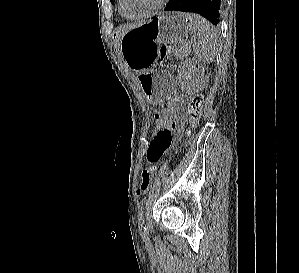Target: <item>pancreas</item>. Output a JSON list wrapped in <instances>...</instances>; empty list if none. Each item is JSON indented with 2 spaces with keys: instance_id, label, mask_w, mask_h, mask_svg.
Here are the masks:
<instances>
[{
  "instance_id": "obj_1",
  "label": "pancreas",
  "mask_w": 299,
  "mask_h": 273,
  "mask_svg": "<svg viewBox=\"0 0 299 273\" xmlns=\"http://www.w3.org/2000/svg\"><path fill=\"white\" fill-rule=\"evenodd\" d=\"M190 48L188 46H181V47H175L174 49V55L179 58L182 59L186 56H188L190 54Z\"/></svg>"
}]
</instances>
